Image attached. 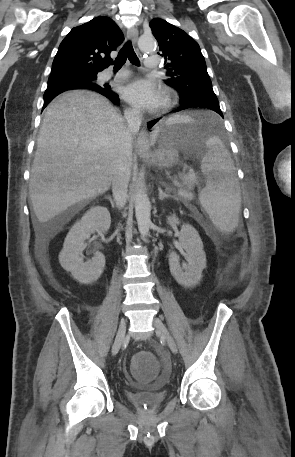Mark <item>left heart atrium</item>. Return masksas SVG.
<instances>
[{
    "label": "left heart atrium",
    "instance_id": "1",
    "mask_svg": "<svg viewBox=\"0 0 295 457\" xmlns=\"http://www.w3.org/2000/svg\"><path fill=\"white\" fill-rule=\"evenodd\" d=\"M122 95L129 104L142 110H155L164 100L160 86L148 79H136L127 84Z\"/></svg>",
    "mask_w": 295,
    "mask_h": 457
}]
</instances>
